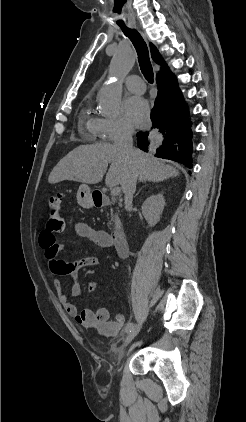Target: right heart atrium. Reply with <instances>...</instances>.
Wrapping results in <instances>:
<instances>
[{"instance_id":"1","label":"right heart atrium","mask_w":246,"mask_h":422,"mask_svg":"<svg viewBox=\"0 0 246 422\" xmlns=\"http://www.w3.org/2000/svg\"><path fill=\"white\" fill-rule=\"evenodd\" d=\"M131 126L119 118H99V137L105 141H115L131 134Z\"/></svg>"}]
</instances>
